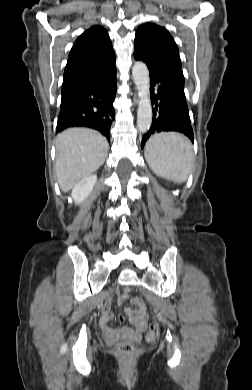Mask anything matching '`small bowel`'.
Masks as SVG:
<instances>
[{
    "mask_svg": "<svg viewBox=\"0 0 252 390\" xmlns=\"http://www.w3.org/2000/svg\"><path fill=\"white\" fill-rule=\"evenodd\" d=\"M118 295V294H117ZM120 301H124L126 299L125 295L119 296ZM111 301L112 297H108L104 303L103 306V323L105 329L108 331L107 323L109 320L112 319L113 313L111 311ZM136 304L138 306V309L134 310L130 307H125L124 311L125 314L129 317L130 323L133 326V328L124 326L119 331H113L111 334L113 337H119V336H130V335H136L141 336L145 331L147 327V311L145 305L140 301L136 300ZM120 319L123 321L124 318L121 316Z\"/></svg>",
    "mask_w": 252,
    "mask_h": 390,
    "instance_id": "obj_1",
    "label": "small bowel"
}]
</instances>
